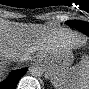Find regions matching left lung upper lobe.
I'll return each mask as SVG.
<instances>
[{"mask_svg": "<svg viewBox=\"0 0 89 89\" xmlns=\"http://www.w3.org/2000/svg\"><path fill=\"white\" fill-rule=\"evenodd\" d=\"M66 24L69 25L71 28L75 27L77 29L79 27L88 26V29H89V24L87 22H83L79 20L67 21Z\"/></svg>", "mask_w": 89, "mask_h": 89, "instance_id": "5c2ea615", "label": "left lung upper lobe"}]
</instances>
